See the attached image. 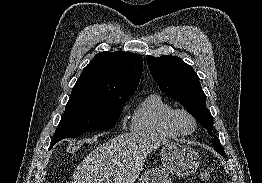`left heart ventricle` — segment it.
I'll return each instance as SVG.
<instances>
[{
	"label": "left heart ventricle",
	"instance_id": "1",
	"mask_svg": "<svg viewBox=\"0 0 262 183\" xmlns=\"http://www.w3.org/2000/svg\"><path fill=\"white\" fill-rule=\"evenodd\" d=\"M180 124H181L182 128L186 131H191L193 129L192 121L186 116L180 117Z\"/></svg>",
	"mask_w": 262,
	"mask_h": 183
}]
</instances>
